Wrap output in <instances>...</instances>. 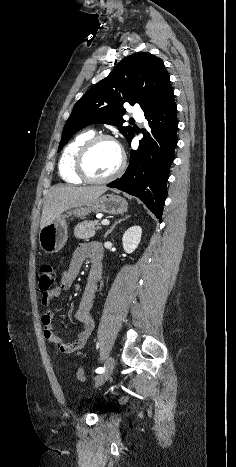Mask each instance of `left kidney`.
<instances>
[{
    "instance_id": "1",
    "label": "left kidney",
    "mask_w": 236,
    "mask_h": 467,
    "mask_svg": "<svg viewBox=\"0 0 236 467\" xmlns=\"http://www.w3.org/2000/svg\"><path fill=\"white\" fill-rule=\"evenodd\" d=\"M142 235L140 226L130 227L123 235L122 243L126 253L130 254L138 247Z\"/></svg>"
}]
</instances>
